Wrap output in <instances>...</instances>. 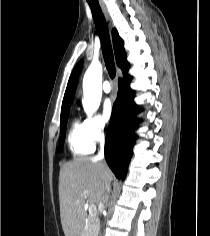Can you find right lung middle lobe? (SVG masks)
Listing matches in <instances>:
<instances>
[{
    "label": "right lung middle lobe",
    "instance_id": "dd1d6c3e",
    "mask_svg": "<svg viewBox=\"0 0 210 236\" xmlns=\"http://www.w3.org/2000/svg\"><path fill=\"white\" fill-rule=\"evenodd\" d=\"M68 111L61 112V119H60V150H62V145L65 139V132L67 126V118H68Z\"/></svg>",
    "mask_w": 210,
    "mask_h": 236
}]
</instances>
